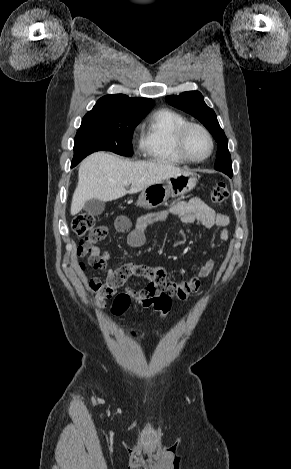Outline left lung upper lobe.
<instances>
[{"instance_id": "obj_1", "label": "left lung upper lobe", "mask_w": 291, "mask_h": 469, "mask_svg": "<svg viewBox=\"0 0 291 469\" xmlns=\"http://www.w3.org/2000/svg\"><path fill=\"white\" fill-rule=\"evenodd\" d=\"M165 100L170 105L197 118L209 130L218 144L214 168L232 177V163L227 137L218 123L215 112L205 104L202 94L198 91H189L178 96H167Z\"/></svg>"}]
</instances>
